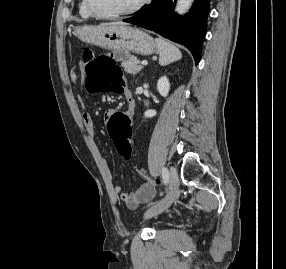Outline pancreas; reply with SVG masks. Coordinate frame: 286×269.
<instances>
[{
	"instance_id": "pancreas-1",
	"label": "pancreas",
	"mask_w": 286,
	"mask_h": 269,
	"mask_svg": "<svg viewBox=\"0 0 286 269\" xmlns=\"http://www.w3.org/2000/svg\"><path fill=\"white\" fill-rule=\"evenodd\" d=\"M121 65L127 73L132 75H136L143 68V66L140 64V61L134 57L123 61Z\"/></svg>"
}]
</instances>
